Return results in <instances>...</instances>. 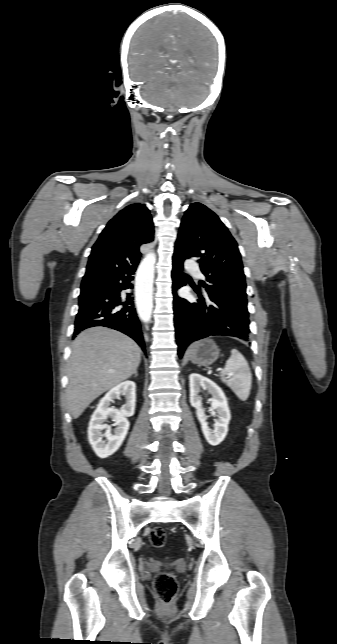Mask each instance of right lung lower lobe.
Here are the masks:
<instances>
[{"instance_id": "right-lung-lower-lobe-1", "label": "right lung lower lobe", "mask_w": 337, "mask_h": 644, "mask_svg": "<svg viewBox=\"0 0 337 644\" xmlns=\"http://www.w3.org/2000/svg\"><path fill=\"white\" fill-rule=\"evenodd\" d=\"M137 266H129L106 278L91 294L79 299L74 335L80 331L104 326L118 330L131 338L145 351L141 324L134 308L132 293L121 297V290L132 289V276Z\"/></svg>"}]
</instances>
